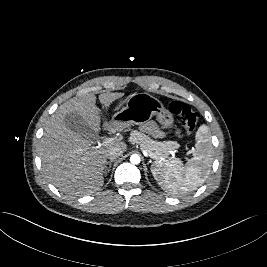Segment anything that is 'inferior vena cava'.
I'll use <instances>...</instances> for the list:
<instances>
[{
    "label": "inferior vena cava",
    "instance_id": "1",
    "mask_svg": "<svg viewBox=\"0 0 267 267\" xmlns=\"http://www.w3.org/2000/svg\"><path fill=\"white\" fill-rule=\"evenodd\" d=\"M123 153L122 149L118 148V147H113L108 151V158L110 160H114L116 158H118L119 156H121Z\"/></svg>",
    "mask_w": 267,
    "mask_h": 267
}]
</instances>
